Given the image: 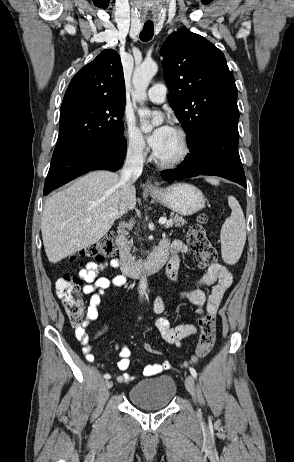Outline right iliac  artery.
Listing matches in <instances>:
<instances>
[{"mask_svg":"<svg viewBox=\"0 0 294 462\" xmlns=\"http://www.w3.org/2000/svg\"><path fill=\"white\" fill-rule=\"evenodd\" d=\"M104 378H105L106 380H108V379L111 378V376H110L109 374H105V375H104Z\"/></svg>","mask_w":294,"mask_h":462,"instance_id":"right-iliac-artery-1","label":"right iliac artery"}]
</instances>
